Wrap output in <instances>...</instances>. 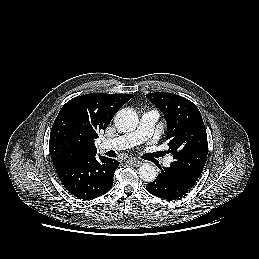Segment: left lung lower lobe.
I'll list each match as a JSON object with an SVG mask.
<instances>
[{
    "mask_svg": "<svg viewBox=\"0 0 259 259\" xmlns=\"http://www.w3.org/2000/svg\"><path fill=\"white\" fill-rule=\"evenodd\" d=\"M160 170V174L146 185V189L152 195L163 199L174 200L182 197L197 181L172 165L168 168L160 167Z\"/></svg>",
    "mask_w": 259,
    "mask_h": 259,
    "instance_id": "obj_1",
    "label": "left lung lower lobe"
}]
</instances>
